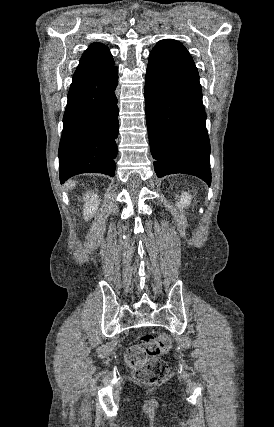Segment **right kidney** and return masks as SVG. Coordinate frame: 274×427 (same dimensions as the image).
I'll return each instance as SVG.
<instances>
[{"instance_id":"right-kidney-1","label":"right kidney","mask_w":274,"mask_h":427,"mask_svg":"<svg viewBox=\"0 0 274 427\" xmlns=\"http://www.w3.org/2000/svg\"><path fill=\"white\" fill-rule=\"evenodd\" d=\"M83 202H85L83 208V215L84 219L88 221V219H91L93 217V214H95L96 210H98L99 206V196L98 194H94V192H86L82 198Z\"/></svg>"}]
</instances>
